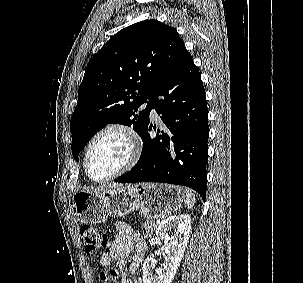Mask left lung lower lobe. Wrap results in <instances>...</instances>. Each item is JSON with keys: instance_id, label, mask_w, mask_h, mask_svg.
Segmentation results:
<instances>
[{"instance_id": "0a47b994", "label": "left lung lower lobe", "mask_w": 303, "mask_h": 283, "mask_svg": "<svg viewBox=\"0 0 303 283\" xmlns=\"http://www.w3.org/2000/svg\"><path fill=\"white\" fill-rule=\"evenodd\" d=\"M151 109L165 127L151 138L148 122L140 135L144 145L139 161L115 182L184 185L205 200L208 110L201 74L186 48L154 92Z\"/></svg>"}]
</instances>
